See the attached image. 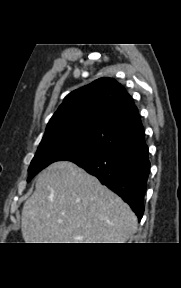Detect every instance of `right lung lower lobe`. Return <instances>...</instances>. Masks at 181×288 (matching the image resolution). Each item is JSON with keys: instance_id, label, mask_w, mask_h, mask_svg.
<instances>
[{"instance_id": "obj_1", "label": "right lung lower lobe", "mask_w": 181, "mask_h": 288, "mask_svg": "<svg viewBox=\"0 0 181 288\" xmlns=\"http://www.w3.org/2000/svg\"><path fill=\"white\" fill-rule=\"evenodd\" d=\"M71 162L96 176L102 184L118 194L141 220L150 172L146 143L76 158Z\"/></svg>"}]
</instances>
